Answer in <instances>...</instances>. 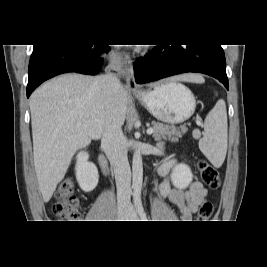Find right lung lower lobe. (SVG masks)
Returning <instances> with one entry per match:
<instances>
[{"mask_svg":"<svg viewBox=\"0 0 267 267\" xmlns=\"http://www.w3.org/2000/svg\"><path fill=\"white\" fill-rule=\"evenodd\" d=\"M109 45H34L29 62L27 97L44 81L63 73L96 75Z\"/></svg>","mask_w":267,"mask_h":267,"instance_id":"obj_1","label":"right lung lower lobe"}]
</instances>
